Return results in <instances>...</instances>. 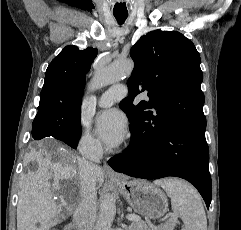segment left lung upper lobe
Here are the masks:
<instances>
[{
	"label": "left lung upper lobe",
	"instance_id": "1",
	"mask_svg": "<svg viewBox=\"0 0 241 230\" xmlns=\"http://www.w3.org/2000/svg\"><path fill=\"white\" fill-rule=\"evenodd\" d=\"M135 66L127 81L129 97L120 102L141 134L157 138L170 128L205 131L203 73L194 44L177 31H152L131 48ZM147 92L148 101L133 105Z\"/></svg>",
	"mask_w": 241,
	"mask_h": 230
}]
</instances>
